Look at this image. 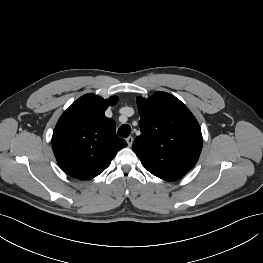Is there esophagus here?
Listing matches in <instances>:
<instances>
[{"mask_svg": "<svg viewBox=\"0 0 263 263\" xmlns=\"http://www.w3.org/2000/svg\"><path fill=\"white\" fill-rule=\"evenodd\" d=\"M134 138L132 136H129L128 138H126V142L128 144V147H131L133 144Z\"/></svg>", "mask_w": 263, "mask_h": 263, "instance_id": "esophagus-1", "label": "esophagus"}]
</instances>
